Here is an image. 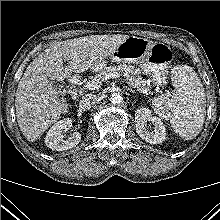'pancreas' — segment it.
Masks as SVG:
<instances>
[{
  "label": "pancreas",
  "mask_w": 220,
  "mask_h": 220,
  "mask_svg": "<svg viewBox=\"0 0 220 220\" xmlns=\"http://www.w3.org/2000/svg\"><path fill=\"white\" fill-rule=\"evenodd\" d=\"M99 74H97L93 79L104 81L107 74L111 72L115 73H122L123 76L126 78V82L129 86L137 88L138 90L144 89L147 81L141 77V73L139 69H135L134 66L120 64L118 66H109V67H102L98 70Z\"/></svg>",
  "instance_id": "1"
}]
</instances>
